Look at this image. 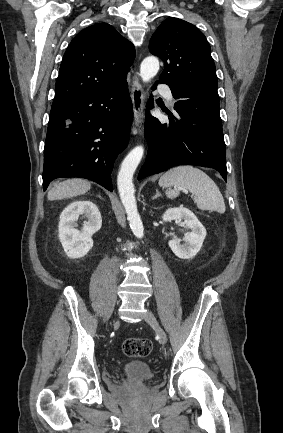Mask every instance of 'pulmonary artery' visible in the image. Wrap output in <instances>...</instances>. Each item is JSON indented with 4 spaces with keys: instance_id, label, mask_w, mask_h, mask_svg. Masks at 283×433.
Wrapping results in <instances>:
<instances>
[{
    "instance_id": "1",
    "label": "pulmonary artery",
    "mask_w": 283,
    "mask_h": 433,
    "mask_svg": "<svg viewBox=\"0 0 283 433\" xmlns=\"http://www.w3.org/2000/svg\"><path fill=\"white\" fill-rule=\"evenodd\" d=\"M156 89L158 96H165L167 104L173 108L177 100L172 94L171 87H167L165 83H158Z\"/></svg>"
}]
</instances>
